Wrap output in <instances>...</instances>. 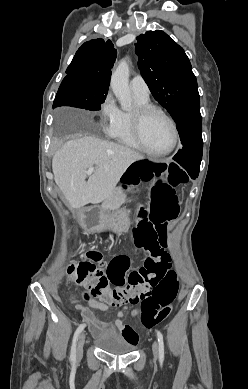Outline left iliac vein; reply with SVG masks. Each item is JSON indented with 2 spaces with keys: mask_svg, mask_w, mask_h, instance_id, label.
Returning <instances> with one entry per match:
<instances>
[{
  "mask_svg": "<svg viewBox=\"0 0 248 389\" xmlns=\"http://www.w3.org/2000/svg\"><path fill=\"white\" fill-rule=\"evenodd\" d=\"M152 350H153L154 358H155V360H157L158 356H159V348H158V344L156 341L153 342Z\"/></svg>",
  "mask_w": 248,
  "mask_h": 389,
  "instance_id": "1",
  "label": "left iliac vein"
}]
</instances>
